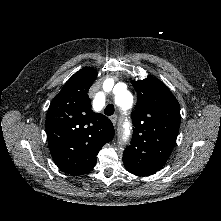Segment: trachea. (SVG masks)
I'll list each match as a JSON object with an SVG mask.
<instances>
[{"mask_svg": "<svg viewBox=\"0 0 221 221\" xmlns=\"http://www.w3.org/2000/svg\"><path fill=\"white\" fill-rule=\"evenodd\" d=\"M114 105L113 104H108L104 110V114L107 116H111L114 113Z\"/></svg>", "mask_w": 221, "mask_h": 221, "instance_id": "trachea-1", "label": "trachea"}]
</instances>
